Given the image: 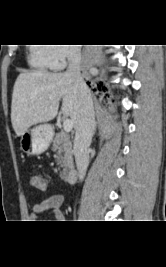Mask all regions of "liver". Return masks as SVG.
Here are the masks:
<instances>
[{
    "label": "liver",
    "instance_id": "liver-1",
    "mask_svg": "<svg viewBox=\"0 0 166 267\" xmlns=\"http://www.w3.org/2000/svg\"><path fill=\"white\" fill-rule=\"evenodd\" d=\"M61 99L62 114L71 118L76 129L83 97L73 81L65 73H20L11 103V122L16 135L22 136L31 126L53 120Z\"/></svg>",
    "mask_w": 166,
    "mask_h": 267
}]
</instances>
